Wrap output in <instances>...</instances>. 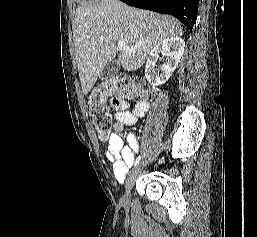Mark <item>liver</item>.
I'll use <instances>...</instances> for the list:
<instances>
[{
    "label": "liver",
    "mask_w": 257,
    "mask_h": 237,
    "mask_svg": "<svg viewBox=\"0 0 257 237\" xmlns=\"http://www.w3.org/2000/svg\"><path fill=\"white\" fill-rule=\"evenodd\" d=\"M183 35L180 23L171 16L129 7L119 0H101L76 9L74 39L81 86L87 94L103 68L111 62L124 41L129 50H120L118 63L127 71L139 69L159 42Z\"/></svg>",
    "instance_id": "liver-1"
}]
</instances>
